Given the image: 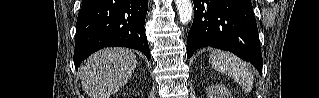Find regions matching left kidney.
Listing matches in <instances>:
<instances>
[{"mask_svg":"<svg viewBox=\"0 0 319 98\" xmlns=\"http://www.w3.org/2000/svg\"><path fill=\"white\" fill-rule=\"evenodd\" d=\"M208 98H232V94L226 86L216 84L209 87Z\"/></svg>","mask_w":319,"mask_h":98,"instance_id":"5707ae66","label":"left kidney"}]
</instances>
